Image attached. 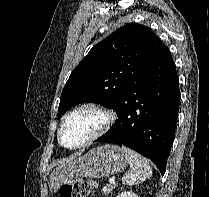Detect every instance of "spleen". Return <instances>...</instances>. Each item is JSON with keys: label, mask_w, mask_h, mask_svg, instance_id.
Instances as JSON below:
<instances>
[{"label": "spleen", "mask_w": 209, "mask_h": 197, "mask_svg": "<svg viewBox=\"0 0 209 197\" xmlns=\"http://www.w3.org/2000/svg\"><path fill=\"white\" fill-rule=\"evenodd\" d=\"M122 150L130 164V170L122 177V183L136 185L150 178L152 170L148 160L125 146L122 147Z\"/></svg>", "instance_id": "3e777b00"}]
</instances>
